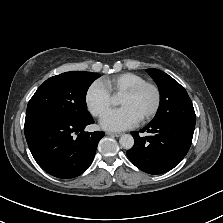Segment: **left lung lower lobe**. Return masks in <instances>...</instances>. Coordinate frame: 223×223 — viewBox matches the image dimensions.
<instances>
[{
	"instance_id": "1",
	"label": "left lung lower lobe",
	"mask_w": 223,
	"mask_h": 223,
	"mask_svg": "<svg viewBox=\"0 0 223 223\" xmlns=\"http://www.w3.org/2000/svg\"><path fill=\"white\" fill-rule=\"evenodd\" d=\"M194 128L195 124L180 121L150 122L139 131H147L149 136L140 137L138 131L131 132L135 143L127 151V156L146 173H165L177 166L187 154Z\"/></svg>"
}]
</instances>
